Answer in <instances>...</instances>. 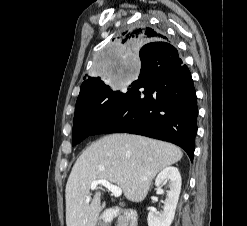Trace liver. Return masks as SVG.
Here are the masks:
<instances>
[{"label": "liver", "instance_id": "6515ba94", "mask_svg": "<svg viewBox=\"0 0 247 226\" xmlns=\"http://www.w3.org/2000/svg\"><path fill=\"white\" fill-rule=\"evenodd\" d=\"M182 156L171 143L139 135L112 134L93 142L75 162L66 184V225L96 226L105 202L101 205L100 191L91 198L93 181L114 183L129 201L141 202L156 174Z\"/></svg>", "mask_w": 247, "mask_h": 226}]
</instances>
